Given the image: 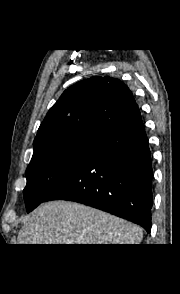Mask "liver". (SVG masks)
Instances as JSON below:
<instances>
[{"mask_svg": "<svg viewBox=\"0 0 180 294\" xmlns=\"http://www.w3.org/2000/svg\"><path fill=\"white\" fill-rule=\"evenodd\" d=\"M142 239L137 225L69 201L41 205L18 236L19 244H139Z\"/></svg>", "mask_w": 180, "mask_h": 294, "instance_id": "6515ba94", "label": "liver"}]
</instances>
